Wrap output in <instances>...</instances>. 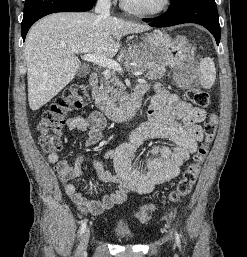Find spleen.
I'll list each match as a JSON object with an SVG mask.
<instances>
[{"instance_id": "1", "label": "spleen", "mask_w": 247, "mask_h": 257, "mask_svg": "<svg viewBox=\"0 0 247 257\" xmlns=\"http://www.w3.org/2000/svg\"><path fill=\"white\" fill-rule=\"evenodd\" d=\"M199 82L205 89H210L216 79V69L213 59L206 57L199 65Z\"/></svg>"}]
</instances>
